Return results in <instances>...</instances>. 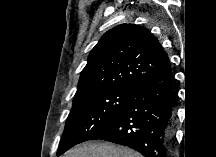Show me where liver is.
<instances>
[{"mask_svg":"<svg viewBox=\"0 0 216 157\" xmlns=\"http://www.w3.org/2000/svg\"><path fill=\"white\" fill-rule=\"evenodd\" d=\"M65 157H141L134 150L108 142L84 144L68 151Z\"/></svg>","mask_w":216,"mask_h":157,"instance_id":"1","label":"liver"}]
</instances>
